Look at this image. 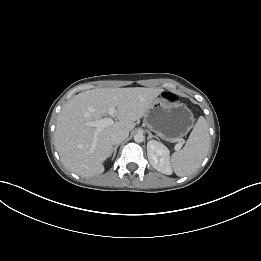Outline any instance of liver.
<instances>
[{
	"label": "liver",
	"instance_id": "1",
	"mask_svg": "<svg viewBox=\"0 0 261 261\" xmlns=\"http://www.w3.org/2000/svg\"><path fill=\"white\" fill-rule=\"evenodd\" d=\"M163 92L159 88H100L81 92L70 99L57 117L55 147L64 166L82 177L91 178L105 170L111 156V134L131 131L151 103ZM114 107L117 120L96 134L87 122L101 119Z\"/></svg>",
	"mask_w": 261,
	"mask_h": 261
}]
</instances>
